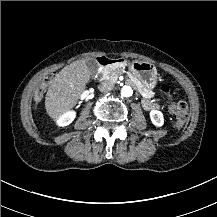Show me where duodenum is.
<instances>
[{"label": "duodenum", "mask_w": 217, "mask_h": 217, "mask_svg": "<svg viewBox=\"0 0 217 217\" xmlns=\"http://www.w3.org/2000/svg\"><path fill=\"white\" fill-rule=\"evenodd\" d=\"M97 63L101 67H114L120 64V60L108 57H99L97 58Z\"/></svg>", "instance_id": "410a0bca"}]
</instances>
